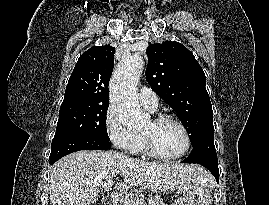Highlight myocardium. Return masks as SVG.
I'll return each instance as SVG.
<instances>
[{"mask_svg": "<svg viewBox=\"0 0 269 205\" xmlns=\"http://www.w3.org/2000/svg\"><path fill=\"white\" fill-rule=\"evenodd\" d=\"M166 121L173 122L182 130L184 137H185L184 150L176 155H172V156L164 155L156 150V148L152 144L151 140L147 136L141 134V142H142V146H143V151L147 155H149L150 157H153L155 159L164 160V161L177 160V159L182 158L183 156H185L189 152V150L191 148V144H192L191 136H190L189 130L187 129L185 124L181 120H179L177 117H175L171 114H159L152 120V123L154 125H159V124L166 122Z\"/></svg>", "mask_w": 269, "mask_h": 205, "instance_id": "myocardium-1", "label": "myocardium"}]
</instances>
